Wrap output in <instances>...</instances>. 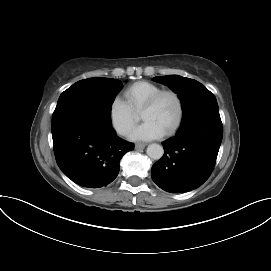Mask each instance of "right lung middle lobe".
<instances>
[{
  "instance_id": "right-lung-middle-lobe-1",
  "label": "right lung middle lobe",
  "mask_w": 271,
  "mask_h": 271,
  "mask_svg": "<svg viewBox=\"0 0 271 271\" xmlns=\"http://www.w3.org/2000/svg\"><path fill=\"white\" fill-rule=\"evenodd\" d=\"M121 85L120 80L102 77L76 82L59 97L52 116V128L89 116H103L111 121V106Z\"/></svg>"
}]
</instances>
